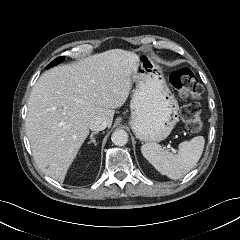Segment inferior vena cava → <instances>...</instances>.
<instances>
[{"instance_id":"obj_1","label":"inferior vena cava","mask_w":240,"mask_h":240,"mask_svg":"<svg viewBox=\"0 0 240 240\" xmlns=\"http://www.w3.org/2000/svg\"><path fill=\"white\" fill-rule=\"evenodd\" d=\"M106 127V120L101 116H97L89 122V129H91L92 131H102Z\"/></svg>"}]
</instances>
